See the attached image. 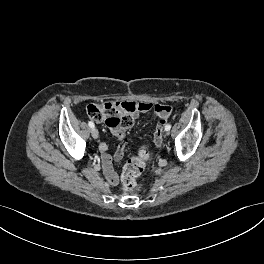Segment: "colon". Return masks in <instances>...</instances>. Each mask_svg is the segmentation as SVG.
<instances>
[{
	"label": "colon",
	"instance_id": "5ec220e1",
	"mask_svg": "<svg viewBox=\"0 0 264 264\" xmlns=\"http://www.w3.org/2000/svg\"><path fill=\"white\" fill-rule=\"evenodd\" d=\"M135 110L136 107L134 105L124 102H100L87 106V114L90 118L97 122H104L111 129L121 131L132 127ZM165 123V120H159L157 123L154 134V142L156 144H162ZM149 157L150 154L147 147L142 146L138 149L135 156L127 161L121 175V183L124 190L131 191L138 188L137 178L143 172Z\"/></svg>",
	"mask_w": 264,
	"mask_h": 264
}]
</instances>
